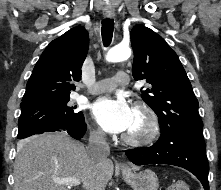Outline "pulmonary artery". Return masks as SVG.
Returning a JSON list of instances; mask_svg holds the SVG:
<instances>
[{"label": "pulmonary artery", "mask_w": 221, "mask_h": 190, "mask_svg": "<svg viewBox=\"0 0 221 190\" xmlns=\"http://www.w3.org/2000/svg\"><path fill=\"white\" fill-rule=\"evenodd\" d=\"M129 75L124 71H119L112 78L102 79L91 87L88 88L87 92L90 94H100L103 92L110 91L116 86H126L129 84Z\"/></svg>", "instance_id": "e3ab8cb5"}]
</instances>
